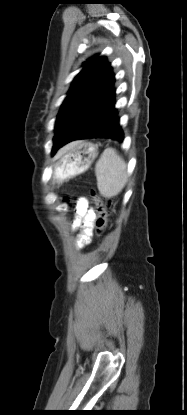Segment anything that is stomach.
<instances>
[{
  "label": "stomach",
  "instance_id": "obj_1",
  "mask_svg": "<svg viewBox=\"0 0 187 415\" xmlns=\"http://www.w3.org/2000/svg\"><path fill=\"white\" fill-rule=\"evenodd\" d=\"M98 155V147L87 141H77L58 158L54 165V179L61 183L89 169Z\"/></svg>",
  "mask_w": 187,
  "mask_h": 415
}]
</instances>
